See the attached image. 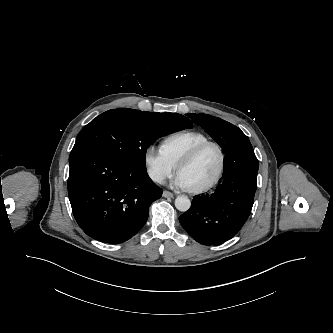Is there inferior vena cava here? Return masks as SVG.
<instances>
[{"instance_id": "inferior-vena-cava-1", "label": "inferior vena cava", "mask_w": 333, "mask_h": 333, "mask_svg": "<svg viewBox=\"0 0 333 333\" xmlns=\"http://www.w3.org/2000/svg\"><path fill=\"white\" fill-rule=\"evenodd\" d=\"M153 180H155L156 182H158V183H160V184L163 183V178L160 177V176H156V177H154Z\"/></svg>"}]
</instances>
